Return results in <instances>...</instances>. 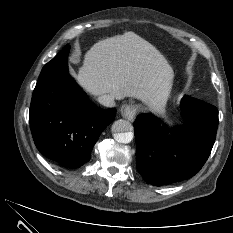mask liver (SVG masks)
Returning <instances> with one entry per match:
<instances>
[{"instance_id":"obj_1","label":"liver","mask_w":233,"mask_h":233,"mask_svg":"<svg viewBox=\"0 0 233 233\" xmlns=\"http://www.w3.org/2000/svg\"><path fill=\"white\" fill-rule=\"evenodd\" d=\"M173 69L161 52L133 32L94 44L76 76L78 84L95 96L134 97L150 105H164Z\"/></svg>"}]
</instances>
